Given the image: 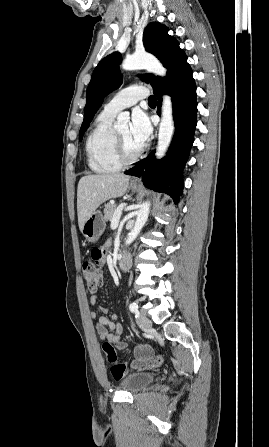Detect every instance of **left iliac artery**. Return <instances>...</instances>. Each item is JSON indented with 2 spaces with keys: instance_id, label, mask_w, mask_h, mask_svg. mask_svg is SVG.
<instances>
[{
  "instance_id": "left-iliac-artery-1",
  "label": "left iliac artery",
  "mask_w": 269,
  "mask_h": 447,
  "mask_svg": "<svg viewBox=\"0 0 269 447\" xmlns=\"http://www.w3.org/2000/svg\"><path fill=\"white\" fill-rule=\"evenodd\" d=\"M129 309H130L131 312H133V313L136 314V317L139 316L138 305H137L135 302L130 303V305H129Z\"/></svg>"
}]
</instances>
